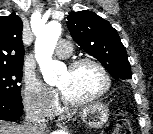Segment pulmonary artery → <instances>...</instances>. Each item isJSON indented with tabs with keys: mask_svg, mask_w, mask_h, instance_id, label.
Listing matches in <instances>:
<instances>
[{
	"mask_svg": "<svg viewBox=\"0 0 153 134\" xmlns=\"http://www.w3.org/2000/svg\"><path fill=\"white\" fill-rule=\"evenodd\" d=\"M72 53V46L71 43L66 40L59 41L57 48H56V54L59 57L67 58Z\"/></svg>",
	"mask_w": 153,
	"mask_h": 134,
	"instance_id": "e3ab8cb5",
	"label": "pulmonary artery"
}]
</instances>
